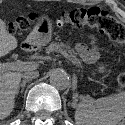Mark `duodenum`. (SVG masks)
I'll return each mask as SVG.
<instances>
[{
    "instance_id": "duodenum-1",
    "label": "duodenum",
    "mask_w": 125,
    "mask_h": 125,
    "mask_svg": "<svg viewBox=\"0 0 125 125\" xmlns=\"http://www.w3.org/2000/svg\"><path fill=\"white\" fill-rule=\"evenodd\" d=\"M22 46L25 48V47H26V44L24 43Z\"/></svg>"
}]
</instances>
